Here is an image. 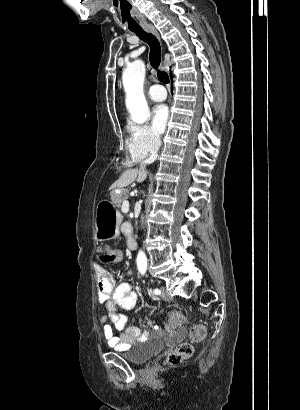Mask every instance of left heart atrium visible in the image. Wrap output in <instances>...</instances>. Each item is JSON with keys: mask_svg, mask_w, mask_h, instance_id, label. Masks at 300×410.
I'll return each instance as SVG.
<instances>
[{"mask_svg": "<svg viewBox=\"0 0 300 410\" xmlns=\"http://www.w3.org/2000/svg\"><path fill=\"white\" fill-rule=\"evenodd\" d=\"M169 108L165 104H159L153 109L152 124L153 128L163 133L169 121Z\"/></svg>", "mask_w": 300, "mask_h": 410, "instance_id": "left-heart-atrium-1", "label": "left heart atrium"}]
</instances>
